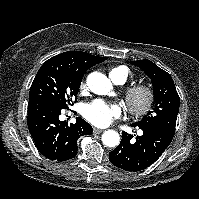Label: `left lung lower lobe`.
<instances>
[{"label": "left lung lower lobe", "instance_id": "1", "mask_svg": "<svg viewBox=\"0 0 199 199\" xmlns=\"http://www.w3.org/2000/svg\"><path fill=\"white\" fill-rule=\"evenodd\" d=\"M133 127H136L132 125ZM143 135L122 132L121 143L109 153L110 162L126 171H141L154 163L171 143L174 134L159 127H139Z\"/></svg>", "mask_w": 199, "mask_h": 199}]
</instances>
